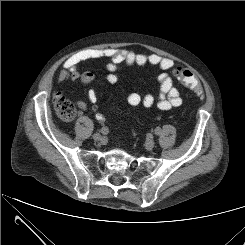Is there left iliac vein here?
<instances>
[{
	"label": "left iliac vein",
	"instance_id": "4c4485c4",
	"mask_svg": "<svg viewBox=\"0 0 245 245\" xmlns=\"http://www.w3.org/2000/svg\"><path fill=\"white\" fill-rule=\"evenodd\" d=\"M155 146V143L152 139H148L146 142H145V148L147 150H152Z\"/></svg>",
	"mask_w": 245,
	"mask_h": 245
}]
</instances>
